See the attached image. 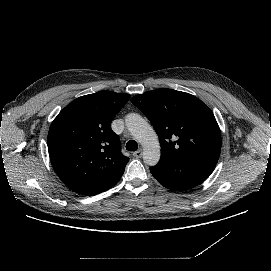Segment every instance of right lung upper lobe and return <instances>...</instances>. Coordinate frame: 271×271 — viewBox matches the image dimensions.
Instances as JSON below:
<instances>
[{
    "label": "right lung upper lobe",
    "mask_w": 271,
    "mask_h": 271,
    "mask_svg": "<svg viewBox=\"0 0 271 271\" xmlns=\"http://www.w3.org/2000/svg\"><path fill=\"white\" fill-rule=\"evenodd\" d=\"M130 95L99 91L73 100L52 122L48 151L62 182L76 193L96 195L113 187L129 161L111 121Z\"/></svg>",
    "instance_id": "right-lung-upper-lobe-1"
}]
</instances>
